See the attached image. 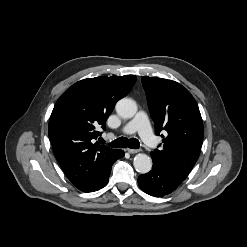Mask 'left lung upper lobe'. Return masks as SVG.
I'll list each match as a JSON object with an SVG mask.
<instances>
[{
    "mask_svg": "<svg viewBox=\"0 0 247 247\" xmlns=\"http://www.w3.org/2000/svg\"><path fill=\"white\" fill-rule=\"evenodd\" d=\"M147 103L157 135L162 130L164 147L150 153L153 162L186 178L195 165L203 142V123L198 105L181 84L162 78L142 77Z\"/></svg>",
    "mask_w": 247,
    "mask_h": 247,
    "instance_id": "1",
    "label": "left lung upper lobe"
}]
</instances>
